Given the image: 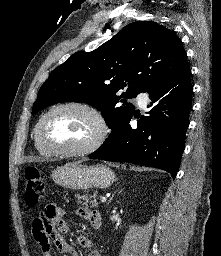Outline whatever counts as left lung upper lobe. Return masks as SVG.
Returning a JSON list of instances; mask_svg holds the SVG:
<instances>
[{"mask_svg":"<svg viewBox=\"0 0 221 256\" xmlns=\"http://www.w3.org/2000/svg\"><path fill=\"white\" fill-rule=\"evenodd\" d=\"M186 57L173 31L151 21L130 23L94 51H79L55 68L41 86L32 114L58 102L87 103L100 110L114 130L134 114L126 99L179 72ZM124 88L127 91L118 95Z\"/></svg>","mask_w":221,"mask_h":256,"instance_id":"5c2ea615","label":"left lung upper lobe"}]
</instances>
